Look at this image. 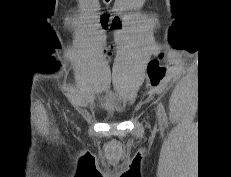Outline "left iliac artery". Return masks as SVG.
<instances>
[{"mask_svg":"<svg viewBox=\"0 0 231 177\" xmlns=\"http://www.w3.org/2000/svg\"><path fill=\"white\" fill-rule=\"evenodd\" d=\"M158 113L161 117V120L164 124L167 123V116H166V112H165V109H164V106L161 102H159L158 104Z\"/></svg>","mask_w":231,"mask_h":177,"instance_id":"obj_1","label":"left iliac artery"}]
</instances>
